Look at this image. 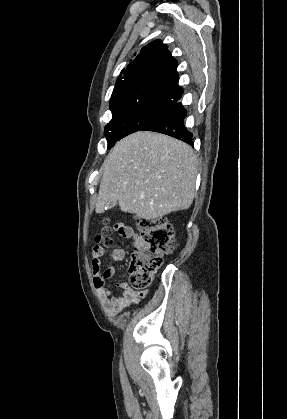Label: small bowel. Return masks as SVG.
<instances>
[{"instance_id": "c3829d8e", "label": "small bowel", "mask_w": 287, "mask_h": 419, "mask_svg": "<svg viewBox=\"0 0 287 419\" xmlns=\"http://www.w3.org/2000/svg\"><path fill=\"white\" fill-rule=\"evenodd\" d=\"M116 231L120 235L132 239L134 243L139 239V236L135 231L123 223L116 225ZM102 254L103 251L98 246L92 251L91 268L94 273V286L97 289L109 316L115 317L122 311L128 309L132 304L138 303L141 298L146 297V294L137 293L126 282H117L115 283V287L121 289L122 294L118 296L112 295L110 289L106 285V281L116 275L117 269L115 266H110L105 270H102ZM111 257L113 261L121 262L125 257V253L122 249L116 248L113 250Z\"/></svg>"}]
</instances>
